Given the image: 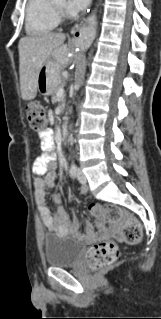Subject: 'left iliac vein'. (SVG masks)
Here are the masks:
<instances>
[{
    "instance_id": "left-iliac-vein-1",
    "label": "left iliac vein",
    "mask_w": 161,
    "mask_h": 319,
    "mask_svg": "<svg viewBox=\"0 0 161 319\" xmlns=\"http://www.w3.org/2000/svg\"><path fill=\"white\" fill-rule=\"evenodd\" d=\"M78 179H79V182L82 183V184H85L87 182V179H86L85 175L81 171H79Z\"/></svg>"
}]
</instances>
